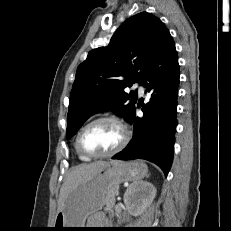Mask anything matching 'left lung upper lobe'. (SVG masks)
<instances>
[{"instance_id":"5c2ea615","label":"left lung upper lobe","mask_w":231,"mask_h":231,"mask_svg":"<svg viewBox=\"0 0 231 231\" xmlns=\"http://www.w3.org/2000/svg\"><path fill=\"white\" fill-rule=\"evenodd\" d=\"M168 33L158 17L141 12L117 29L108 46L89 52L77 68L70 94L67 139L99 111L111 110L127 121L130 119L137 94H127L124 89L141 83Z\"/></svg>"}]
</instances>
